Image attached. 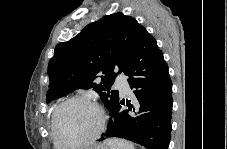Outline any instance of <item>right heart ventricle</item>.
I'll return each instance as SVG.
<instances>
[{"label": "right heart ventricle", "mask_w": 227, "mask_h": 149, "mask_svg": "<svg viewBox=\"0 0 227 149\" xmlns=\"http://www.w3.org/2000/svg\"><path fill=\"white\" fill-rule=\"evenodd\" d=\"M54 110H55V108H54L53 111H52V116H53ZM50 128H51V137H52L53 145H54V147H58V145L56 144V142H55V140H54V136H53V132H52V119H51V121H50Z\"/></svg>", "instance_id": "1"}]
</instances>
